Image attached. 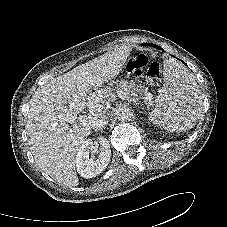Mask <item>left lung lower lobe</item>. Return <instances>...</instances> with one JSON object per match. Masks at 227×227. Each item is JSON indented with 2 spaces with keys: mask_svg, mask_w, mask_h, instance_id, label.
<instances>
[{
  "mask_svg": "<svg viewBox=\"0 0 227 227\" xmlns=\"http://www.w3.org/2000/svg\"><path fill=\"white\" fill-rule=\"evenodd\" d=\"M153 46H155V47L159 48V47H158V46H156V45H153Z\"/></svg>",
  "mask_w": 227,
  "mask_h": 227,
  "instance_id": "left-lung-lower-lobe-1",
  "label": "left lung lower lobe"
}]
</instances>
